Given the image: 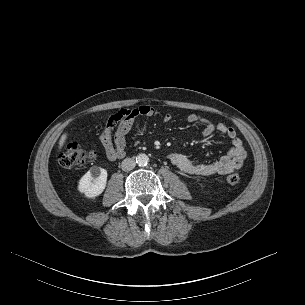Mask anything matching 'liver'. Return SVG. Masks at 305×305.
<instances>
[{"label": "liver", "mask_w": 305, "mask_h": 305, "mask_svg": "<svg viewBox=\"0 0 305 305\" xmlns=\"http://www.w3.org/2000/svg\"><path fill=\"white\" fill-rule=\"evenodd\" d=\"M67 139V133H64L59 140V149L61 150Z\"/></svg>", "instance_id": "6515ba94"}]
</instances>
